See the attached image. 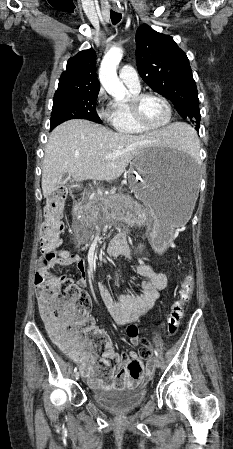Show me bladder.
I'll use <instances>...</instances> for the list:
<instances>
[{
  "instance_id": "obj_1",
  "label": "bladder",
  "mask_w": 233,
  "mask_h": 449,
  "mask_svg": "<svg viewBox=\"0 0 233 449\" xmlns=\"http://www.w3.org/2000/svg\"><path fill=\"white\" fill-rule=\"evenodd\" d=\"M147 389H98L92 392L94 403L113 413H125L137 409L146 401Z\"/></svg>"
}]
</instances>
